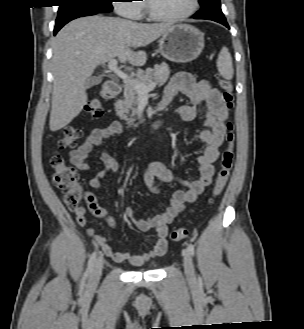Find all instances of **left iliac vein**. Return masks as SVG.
<instances>
[{
  "mask_svg": "<svg viewBox=\"0 0 304 329\" xmlns=\"http://www.w3.org/2000/svg\"><path fill=\"white\" fill-rule=\"evenodd\" d=\"M183 263L185 275L189 282L195 281V271L191 255L188 250L183 251Z\"/></svg>",
  "mask_w": 304,
  "mask_h": 329,
  "instance_id": "left-iliac-vein-1",
  "label": "left iliac vein"
}]
</instances>
